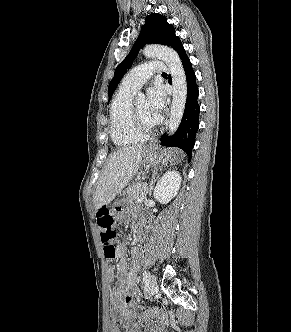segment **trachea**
Instances as JSON below:
<instances>
[{
  "label": "trachea",
  "instance_id": "1",
  "mask_svg": "<svg viewBox=\"0 0 291 332\" xmlns=\"http://www.w3.org/2000/svg\"><path fill=\"white\" fill-rule=\"evenodd\" d=\"M162 75H167L166 73H163Z\"/></svg>",
  "mask_w": 291,
  "mask_h": 332
}]
</instances>
